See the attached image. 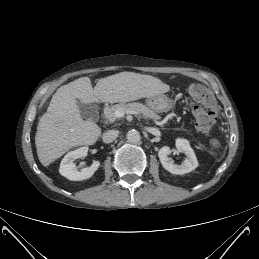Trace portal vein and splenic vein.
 Instances as JSON below:
<instances>
[{
    "mask_svg": "<svg viewBox=\"0 0 259 259\" xmlns=\"http://www.w3.org/2000/svg\"><path fill=\"white\" fill-rule=\"evenodd\" d=\"M115 115H116L117 117H123V116L125 115V112H124L123 110H117V111L115 112Z\"/></svg>",
    "mask_w": 259,
    "mask_h": 259,
    "instance_id": "portal-vein-and-splenic-vein-1",
    "label": "portal vein and splenic vein"
}]
</instances>
